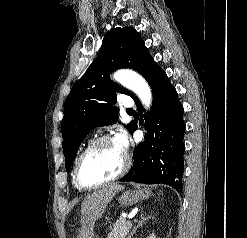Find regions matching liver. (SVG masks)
<instances>
[{"label":"liver","mask_w":247,"mask_h":238,"mask_svg":"<svg viewBox=\"0 0 247 238\" xmlns=\"http://www.w3.org/2000/svg\"><path fill=\"white\" fill-rule=\"evenodd\" d=\"M123 189V185L113 183L93 192L84 199L81 204L82 229L79 238H93L96 220L102 216L114 195Z\"/></svg>","instance_id":"6515ba94"}]
</instances>
